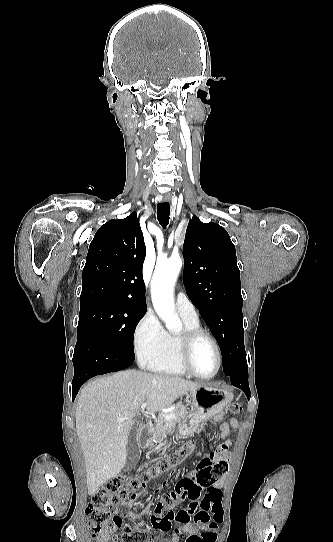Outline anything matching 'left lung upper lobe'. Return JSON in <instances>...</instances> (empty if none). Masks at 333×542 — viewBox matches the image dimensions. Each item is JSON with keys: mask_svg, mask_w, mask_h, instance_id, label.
I'll use <instances>...</instances> for the list:
<instances>
[{"mask_svg": "<svg viewBox=\"0 0 333 542\" xmlns=\"http://www.w3.org/2000/svg\"><path fill=\"white\" fill-rule=\"evenodd\" d=\"M183 257L187 295L214 334L228 375L247 362L235 246L222 226L203 223L194 215L186 230Z\"/></svg>", "mask_w": 333, "mask_h": 542, "instance_id": "left-lung-upper-lobe-1", "label": "left lung upper lobe"}]
</instances>
